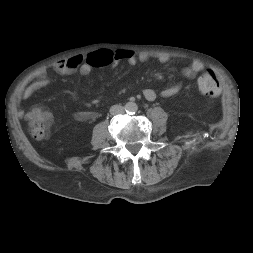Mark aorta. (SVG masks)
<instances>
[{
	"label": "aorta",
	"instance_id": "aorta-1",
	"mask_svg": "<svg viewBox=\"0 0 253 253\" xmlns=\"http://www.w3.org/2000/svg\"><path fill=\"white\" fill-rule=\"evenodd\" d=\"M124 109L127 114H134L138 110V106L135 102H127L124 106Z\"/></svg>",
	"mask_w": 253,
	"mask_h": 253
}]
</instances>
